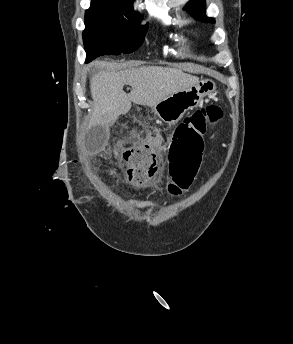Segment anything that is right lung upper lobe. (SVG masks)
I'll use <instances>...</instances> for the list:
<instances>
[{
  "label": "right lung upper lobe",
  "instance_id": "cb5924a9",
  "mask_svg": "<svg viewBox=\"0 0 293 344\" xmlns=\"http://www.w3.org/2000/svg\"><path fill=\"white\" fill-rule=\"evenodd\" d=\"M134 0H92L91 4H98L118 9H133ZM137 13V12H136Z\"/></svg>",
  "mask_w": 293,
  "mask_h": 344
}]
</instances>
